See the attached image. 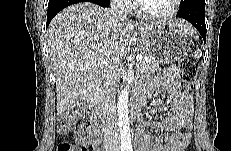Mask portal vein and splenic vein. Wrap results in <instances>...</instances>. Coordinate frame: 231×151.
<instances>
[{"label": "portal vein and splenic vein", "mask_w": 231, "mask_h": 151, "mask_svg": "<svg viewBox=\"0 0 231 151\" xmlns=\"http://www.w3.org/2000/svg\"><path fill=\"white\" fill-rule=\"evenodd\" d=\"M143 59V56L141 55V54H139V55H137L136 56V60L139 62V61H141ZM103 64L105 67H107V68H109V69H111V70H114V67L113 66H111L110 64H108L107 62H105V61H102V62H100V61H98V60H93L92 62H91V65H96V64Z\"/></svg>", "instance_id": "obj_1"}]
</instances>
